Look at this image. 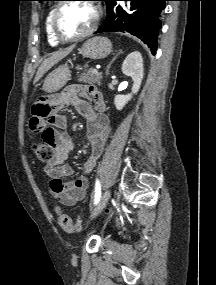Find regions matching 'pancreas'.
Segmentation results:
<instances>
[{"instance_id": "obj_1", "label": "pancreas", "mask_w": 216, "mask_h": 285, "mask_svg": "<svg viewBox=\"0 0 216 285\" xmlns=\"http://www.w3.org/2000/svg\"><path fill=\"white\" fill-rule=\"evenodd\" d=\"M93 69L85 70L84 73L78 76V82L101 85L102 73H92Z\"/></svg>"}]
</instances>
